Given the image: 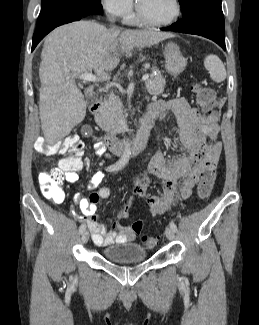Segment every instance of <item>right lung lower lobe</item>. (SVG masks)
<instances>
[{
  "label": "right lung lower lobe",
  "instance_id": "obj_1",
  "mask_svg": "<svg viewBox=\"0 0 259 325\" xmlns=\"http://www.w3.org/2000/svg\"><path fill=\"white\" fill-rule=\"evenodd\" d=\"M93 16V14L83 13L72 8L58 10L49 14L42 21L37 23L32 40V51L35 49L37 44L57 26Z\"/></svg>",
  "mask_w": 259,
  "mask_h": 325
}]
</instances>
